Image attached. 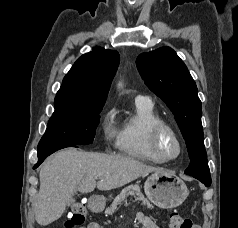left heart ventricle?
Instances as JSON below:
<instances>
[{
	"instance_id": "1",
	"label": "left heart ventricle",
	"mask_w": 238,
	"mask_h": 228,
	"mask_svg": "<svg viewBox=\"0 0 238 228\" xmlns=\"http://www.w3.org/2000/svg\"><path fill=\"white\" fill-rule=\"evenodd\" d=\"M160 149L162 154L166 157H173L178 151L175 141L168 134L163 135L161 138Z\"/></svg>"
}]
</instances>
